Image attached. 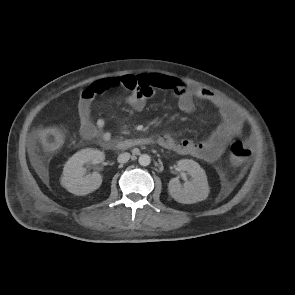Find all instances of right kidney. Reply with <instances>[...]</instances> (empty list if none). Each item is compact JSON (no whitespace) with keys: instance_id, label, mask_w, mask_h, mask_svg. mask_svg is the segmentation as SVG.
<instances>
[{"instance_id":"ca27d5eb","label":"right kidney","mask_w":295,"mask_h":295,"mask_svg":"<svg viewBox=\"0 0 295 295\" xmlns=\"http://www.w3.org/2000/svg\"><path fill=\"white\" fill-rule=\"evenodd\" d=\"M105 158L103 152L91 148L82 149L76 152L65 164L61 185L75 195H86L97 190L102 177L98 172L85 176L83 165L90 162L99 164Z\"/></svg>"}]
</instances>
